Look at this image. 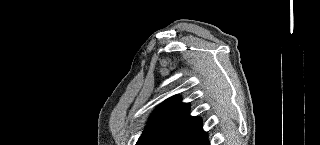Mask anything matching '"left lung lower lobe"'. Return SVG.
Returning a JSON list of instances; mask_svg holds the SVG:
<instances>
[{
  "label": "left lung lower lobe",
  "mask_w": 320,
  "mask_h": 145,
  "mask_svg": "<svg viewBox=\"0 0 320 145\" xmlns=\"http://www.w3.org/2000/svg\"><path fill=\"white\" fill-rule=\"evenodd\" d=\"M179 145H210L208 136L202 126L187 135Z\"/></svg>",
  "instance_id": "0a47b994"
}]
</instances>
